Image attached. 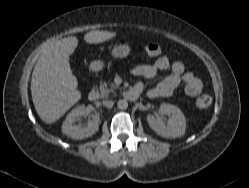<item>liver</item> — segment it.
<instances>
[{"label":"liver","mask_w":249,"mask_h":188,"mask_svg":"<svg viewBox=\"0 0 249 188\" xmlns=\"http://www.w3.org/2000/svg\"><path fill=\"white\" fill-rule=\"evenodd\" d=\"M116 36L115 32L91 31L84 35L89 44H98ZM78 46L74 36L49 44L35 64L31 78V95L39 117L48 124L62 117L81 98L69 56Z\"/></svg>","instance_id":"6515ba94"}]
</instances>
